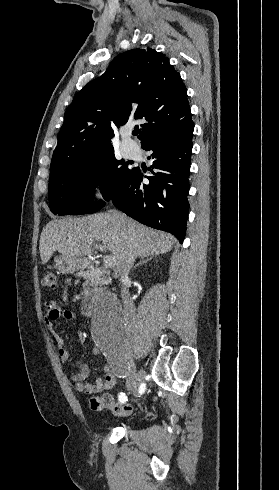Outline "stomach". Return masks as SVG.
<instances>
[{"label": "stomach", "instance_id": "obj_1", "mask_svg": "<svg viewBox=\"0 0 279 490\" xmlns=\"http://www.w3.org/2000/svg\"><path fill=\"white\" fill-rule=\"evenodd\" d=\"M54 266L61 274H73L77 270H81L84 266V260H75V258H67V256H57L54 258Z\"/></svg>", "mask_w": 279, "mask_h": 490}]
</instances>
